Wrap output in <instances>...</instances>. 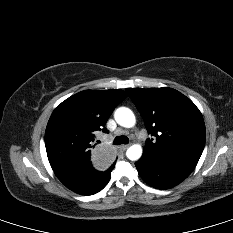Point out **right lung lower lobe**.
<instances>
[{"label":"right lung lower lobe","mask_w":233,"mask_h":233,"mask_svg":"<svg viewBox=\"0 0 233 233\" xmlns=\"http://www.w3.org/2000/svg\"><path fill=\"white\" fill-rule=\"evenodd\" d=\"M115 163L107 166L103 161L91 165L75 166L54 171L58 179L70 190L81 195H92L109 182Z\"/></svg>","instance_id":"right-lung-lower-lobe-1"}]
</instances>
